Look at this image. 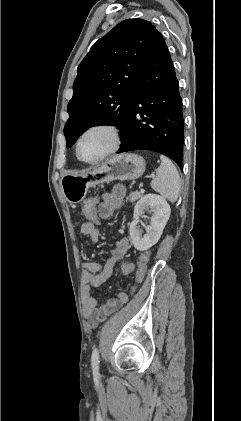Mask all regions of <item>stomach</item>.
<instances>
[{
  "mask_svg": "<svg viewBox=\"0 0 241 421\" xmlns=\"http://www.w3.org/2000/svg\"><path fill=\"white\" fill-rule=\"evenodd\" d=\"M145 160L132 153L116 155L101 165L83 173H66L60 180L65 199L70 204L80 203L88 188L113 180H133L145 172Z\"/></svg>",
  "mask_w": 241,
  "mask_h": 421,
  "instance_id": "obj_1",
  "label": "stomach"
}]
</instances>
